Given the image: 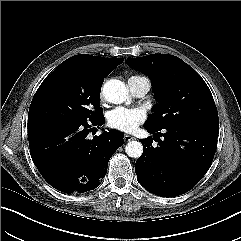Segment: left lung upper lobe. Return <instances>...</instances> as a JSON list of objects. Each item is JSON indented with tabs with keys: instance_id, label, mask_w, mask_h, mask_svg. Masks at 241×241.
I'll list each match as a JSON object with an SVG mask.
<instances>
[{
	"instance_id": "obj_1",
	"label": "left lung upper lobe",
	"mask_w": 241,
	"mask_h": 241,
	"mask_svg": "<svg viewBox=\"0 0 241 241\" xmlns=\"http://www.w3.org/2000/svg\"><path fill=\"white\" fill-rule=\"evenodd\" d=\"M127 64L150 76L159 105L144 126L163 129L178 124L219 127L213 96L205 81L180 58L151 54L128 58Z\"/></svg>"
}]
</instances>
